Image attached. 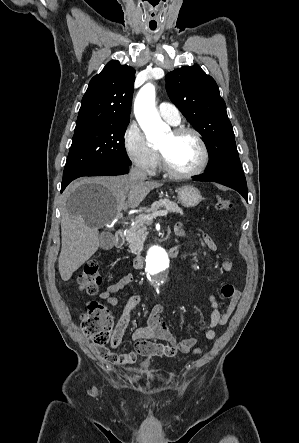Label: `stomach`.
I'll return each instance as SVG.
<instances>
[{"instance_id": "obj_1", "label": "stomach", "mask_w": 299, "mask_h": 443, "mask_svg": "<svg viewBox=\"0 0 299 443\" xmlns=\"http://www.w3.org/2000/svg\"><path fill=\"white\" fill-rule=\"evenodd\" d=\"M176 192L178 194V200L185 207H195L202 200L200 191L193 186H183L178 188Z\"/></svg>"}]
</instances>
